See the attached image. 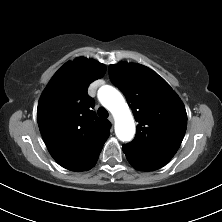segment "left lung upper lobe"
Listing matches in <instances>:
<instances>
[{
  "mask_svg": "<svg viewBox=\"0 0 222 222\" xmlns=\"http://www.w3.org/2000/svg\"><path fill=\"white\" fill-rule=\"evenodd\" d=\"M109 77L125 95L138 122L135 139L123 145L129 163L142 171L163 167L186 132L187 114L181 99L163 78L143 65H110Z\"/></svg>",
  "mask_w": 222,
  "mask_h": 222,
  "instance_id": "1",
  "label": "left lung upper lobe"
}]
</instances>
